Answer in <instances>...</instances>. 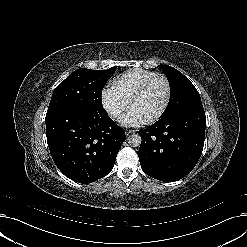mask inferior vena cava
<instances>
[{
  "instance_id": "1",
  "label": "inferior vena cava",
  "mask_w": 247,
  "mask_h": 247,
  "mask_svg": "<svg viewBox=\"0 0 247 247\" xmlns=\"http://www.w3.org/2000/svg\"><path fill=\"white\" fill-rule=\"evenodd\" d=\"M112 117H113L115 120H118V119H120L121 114H120V112H114L113 115H112Z\"/></svg>"
}]
</instances>
